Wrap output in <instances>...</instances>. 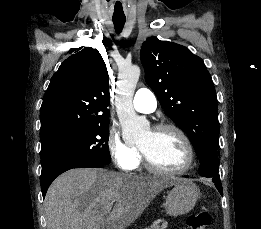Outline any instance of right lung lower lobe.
I'll list each match as a JSON object with an SVG mask.
<instances>
[{
    "label": "right lung lower lobe",
    "instance_id": "obj_1",
    "mask_svg": "<svg viewBox=\"0 0 261 229\" xmlns=\"http://www.w3.org/2000/svg\"><path fill=\"white\" fill-rule=\"evenodd\" d=\"M103 167H104L103 164L87 163V164H80V165H74V166L53 168L46 172H43L41 175V190H42L43 198L45 197V194L47 192L49 185L61 173L65 172L69 169H72V168H103Z\"/></svg>",
    "mask_w": 261,
    "mask_h": 229
}]
</instances>
